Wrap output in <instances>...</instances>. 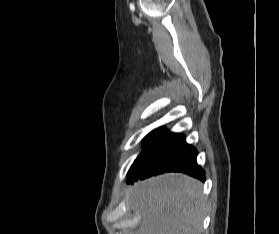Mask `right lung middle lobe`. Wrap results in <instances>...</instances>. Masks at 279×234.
I'll use <instances>...</instances> for the list:
<instances>
[{
  "label": "right lung middle lobe",
  "mask_w": 279,
  "mask_h": 234,
  "mask_svg": "<svg viewBox=\"0 0 279 234\" xmlns=\"http://www.w3.org/2000/svg\"><path fill=\"white\" fill-rule=\"evenodd\" d=\"M155 131H152L151 133H149L143 140L144 143H147L149 141V139L151 138V136L153 135Z\"/></svg>",
  "instance_id": "obj_1"
}]
</instances>
